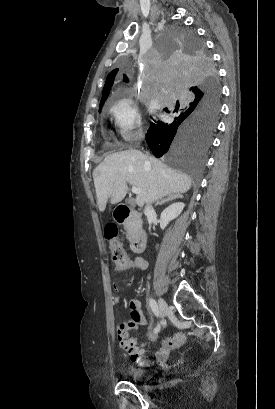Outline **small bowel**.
<instances>
[{"mask_svg": "<svg viewBox=\"0 0 275 409\" xmlns=\"http://www.w3.org/2000/svg\"><path fill=\"white\" fill-rule=\"evenodd\" d=\"M141 267H143V265L139 263L138 261L130 260L129 263L126 265V270L137 269ZM112 273L113 274L111 275V278L115 280V282L113 283V286L115 288H118L120 286V283L116 280H118L120 276L117 273L116 269H113ZM125 282L129 284H134L135 278L134 277L126 278ZM114 301L120 302V297L116 296ZM140 305H141L140 302L137 300L130 301L129 307L133 309L129 311V316L132 319H128L126 323L120 322L118 324L119 331L117 332V335L119 336V349L121 351H130V354H129L130 359L136 362L138 365L143 366V367H149L153 365L155 362L164 363L168 359V351L165 348H160L159 350H157L155 353V359H151L146 356L145 350L142 347L138 346L139 339L137 337L129 338L128 333L130 332V328H135L136 325L138 327H144L148 324L146 321L142 320L145 317L142 313H140V310H141ZM149 338L151 340H155L156 336L151 333L149 335Z\"/></svg>", "mask_w": 275, "mask_h": 409, "instance_id": "c3829d8e", "label": "small bowel"}]
</instances>
